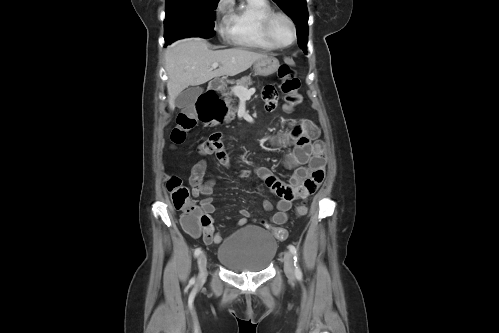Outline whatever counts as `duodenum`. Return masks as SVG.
I'll list each match as a JSON object with an SVG mask.
<instances>
[{"label":"duodenum","mask_w":499,"mask_h":333,"mask_svg":"<svg viewBox=\"0 0 499 333\" xmlns=\"http://www.w3.org/2000/svg\"><path fill=\"white\" fill-rule=\"evenodd\" d=\"M220 85L219 81H212L211 84L208 87L207 92L204 94L203 97H201L199 103H198V111L201 115L207 116L209 119H212L214 116H219L222 113H217V111L211 107L209 104V99L207 98V95L213 93L216 95V91Z\"/></svg>","instance_id":"1"}]
</instances>
